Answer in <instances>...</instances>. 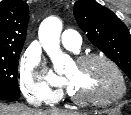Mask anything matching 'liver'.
Instances as JSON below:
<instances>
[{
  "mask_svg": "<svg viewBox=\"0 0 131 115\" xmlns=\"http://www.w3.org/2000/svg\"><path fill=\"white\" fill-rule=\"evenodd\" d=\"M0 115H79L77 112L50 109L46 111L30 109L21 104L3 105L0 104Z\"/></svg>",
  "mask_w": 131,
  "mask_h": 115,
  "instance_id": "obj_1",
  "label": "liver"
}]
</instances>
